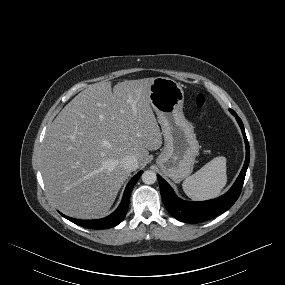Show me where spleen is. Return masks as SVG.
<instances>
[{
    "label": "spleen",
    "instance_id": "spleen-1",
    "mask_svg": "<svg viewBox=\"0 0 285 285\" xmlns=\"http://www.w3.org/2000/svg\"><path fill=\"white\" fill-rule=\"evenodd\" d=\"M227 183L226 158L215 157L182 184L185 194L193 200L217 197Z\"/></svg>",
    "mask_w": 285,
    "mask_h": 285
}]
</instances>
